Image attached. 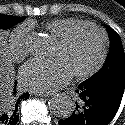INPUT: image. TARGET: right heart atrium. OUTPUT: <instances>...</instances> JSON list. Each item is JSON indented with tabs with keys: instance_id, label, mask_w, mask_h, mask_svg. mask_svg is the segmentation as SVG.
I'll return each instance as SVG.
<instances>
[{
	"instance_id": "obj_1",
	"label": "right heart atrium",
	"mask_w": 125,
	"mask_h": 125,
	"mask_svg": "<svg viewBox=\"0 0 125 125\" xmlns=\"http://www.w3.org/2000/svg\"><path fill=\"white\" fill-rule=\"evenodd\" d=\"M31 27L28 24L17 26L10 35L8 49L14 61L23 60L31 51Z\"/></svg>"
}]
</instances>
